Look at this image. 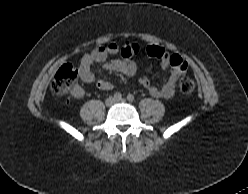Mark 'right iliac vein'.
<instances>
[{"label":"right iliac vein","mask_w":248,"mask_h":194,"mask_svg":"<svg viewBox=\"0 0 248 194\" xmlns=\"http://www.w3.org/2000/svg\"><path fill=\"white\" fill-rule=\"evenodd\" d=\"M115 102V99L113 97H108L105 101L106 106H112Z\"/></svg>","instance_id":"right-iliac-vein-1"}]
</instances>
